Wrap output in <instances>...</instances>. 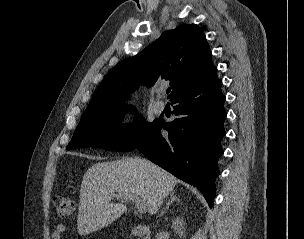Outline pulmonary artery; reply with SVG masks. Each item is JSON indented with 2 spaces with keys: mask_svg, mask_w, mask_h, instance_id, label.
Returning a JSON list of instances; mask_svg holds the SVG:
<instances>
[{
  "mask_svg": "<svg viewBox=\"0 0 304 239\" xmlns=\"http://www.w3.org/2000/svg\"><path fill=\"white\" fill-rule=\"evenodd\" d=\"M165 106H166V104L162 100H158L154 104L155 111L158 113L162 112L165 109Z\"/></svg>",
  "mask_w": 304,
  "mask_h": 239,
  "instance_id": "e3ab8cb5",
  "label": "pulmonary artery"
}]
</instances>
